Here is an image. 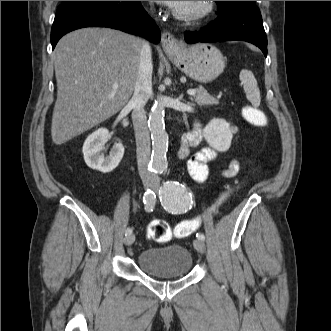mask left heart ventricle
Wrapping results in <instances>:
<instances>
[{"label":"left heart ventricle","instance_id":"1","mask_svg":"<svg viewBox=\"0 0 331 331\" xmlns=\"http://www.w3.org/2000/svg\"><path fill=\"white\" fill-rule=\"evenodd\" d=\"M200 4V1H180L176 9L183 12L195 10Z\"/></svg>","mask_w":331,"mask_h":331}]
</instances>
